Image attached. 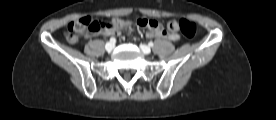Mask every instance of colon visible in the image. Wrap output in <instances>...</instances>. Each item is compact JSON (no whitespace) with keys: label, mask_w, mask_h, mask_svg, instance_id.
Segmentation results:
<instances>
[{"label":"colon","mask_w":276,"mask_h":120,"mask_svg":"<svg viewBox=\"0 0 276 120\" xmlns=\"http://www.w3.org/2000/svg\"><path fill=\"white\" fill-rule=\"evenodd\" d=\"M137 24L142 27L151 25L148 19H139ZM129 25V21L116 19L111 22L106 20H93L89 17H83L74 22H71L66 29L65 37L70 43H75L86 34H96L99 32L116 31ZM168 32L179 30L186 38L192 39L196 36L197 27L189 20L181 19L179 21L171 20L166 24Z\"/></svg>","instance_id":"1"}]
</instances>
